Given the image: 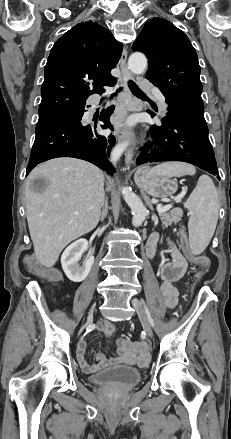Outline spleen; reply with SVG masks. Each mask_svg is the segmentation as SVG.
I'll return each mask as SVG.
<instances>
[{"label":"spleen","instance_id":"obj_1","mask_svg":"<svg viewBox=\"0 0 231 439\" xmlns=\"http://www.w3.org/2000/svg\"><path fill=\"white\" fill-rule=\"evenodd\" d=\"M152 174L181 177L194 175L195 167L187 163H163L151 169ZM186 207L192 212L188 222L190 248L194 255L201 254L208 246L218 221L219 201L212 179L202 175L186 201Z\"/></svg>","mask_w":231,"mask_h":439}]
</instances>
